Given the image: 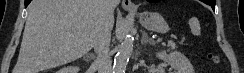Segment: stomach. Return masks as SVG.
<instances>
[{"instance_id": "0dacf381", "label": "stomach", "mask_w": 244, "mask_h": 73, "mask_svg": "<svg viewBox=\"0 0 244 73\" xmlns=\"http://www.w3.org/2000/svg\"><path fill=\"white\" fill-rule=\"evenodd\" d=\"M139 21L145 29L156 33H167L170 29L165 19L156 12L140 13Z\"/></svg>"}]
</instances>
